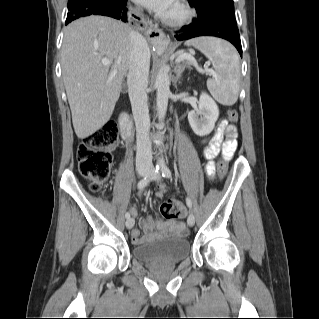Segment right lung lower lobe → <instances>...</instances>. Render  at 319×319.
Wrapping results in <instances>:
<instances>
[{
	"instance_id": "98d812e1",
	"label": "right lung lower lobe",
	"mask_w": 319,
	"mask_h": 319,
	"mask_svg": "<svg viewBox=\"0 0 319 319\" xmlns=\"http://www.w3.org/2000/svg\"><path fill=\"white\" fill-rule=\"evenodd\" d=\"M127 0H120L118 2H115L113 6L106 8V9H101L97 10L94 12H88V15H103V16H109L113 17L116 19H121L123 21H126V12L127 9L125 8ZM68 24V23H65Z\"/></svg>"
}]
</instances>
